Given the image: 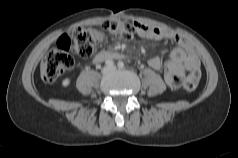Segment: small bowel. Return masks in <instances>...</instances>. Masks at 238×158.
<instances>
[{"mask_svg":"<svg viewBox=\"0 0 238 158\" xmlns=\"http://www.w3.org/2000/svg\"><path fill=\"white\" fill-rule=\"evenodd\" d=\"M140 25L146 29V33L141 36L152 40L166 39L177 45L165 63L160 57L148 61L149 66L155 70H161L164 66V80L170 88H178L188 72L200 68L199 58L192 46L175 32L162 27Z\"/></svg>","mask_w":238,"mask_h":158,"instance_id":"small-bowel-1","label":"small bowel"}]
</instances>
